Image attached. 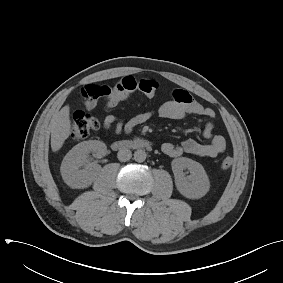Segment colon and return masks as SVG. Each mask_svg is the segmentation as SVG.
<instances>
[{
	"label": "colon",
	"instance_id": "1",
	"mask_svg": "<svg viewBox=\"0 0 283 283\" xmlns=\"http://www.w3.org/2000/svg\"><path fill=\"white\" fill-rule=\"evenodd\" d=\"M158 82L153 78L137 79L133 76H126L116 84L110 86L108 91V101L117 103L119 100L127 97L130 93L141 92L148 96H152L158 89ZM99 128V121L90 114L83 111H76L73 114L71 122V136L74 139H84L91 132ZM233 160L226 156L220 162V167L223 170L231 168Z\"/></svg>",
	"mask_w": 283,
	"mask_h": 283
}]
</instances>
